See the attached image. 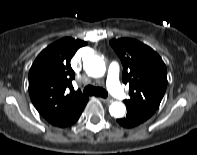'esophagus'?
Listing matches in <instances>:
<instances>
[{
  "label": "esophagus",
  "mask_w": 197,
  "mask_h": 155,
  "mask_svg": "<svg viewBox=\"0 0 197 155\" xmlns=\"http://www.w3.org/2000/svg\"><path fill=\"white\" fill-rule=\"evenodd\" d=\"M102 102H104V103H109V102H111V100L110 99H105V98H99Z\"/></svg>",
  "instance_id": "obj_1"
}]
</instances>
